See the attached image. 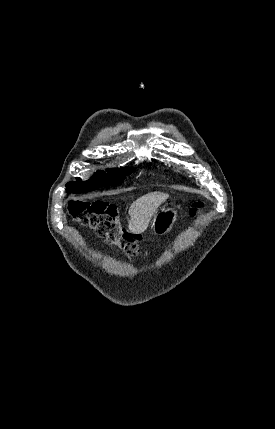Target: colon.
Listing matches in <instances>:
<instances>
[{
	"label": "colon",
	"instance_id": "colon-1",
	"mask_svg": "<svg viewBox=\"0 0 275 429\" xmlns=\"http://www.w3.org/2000/svg\"><path fill=\"white\" fill-rule=\"evenodd\" d=\"M201 203L193 204L190 215L196 216L202 209ZM69 215L84 227L92 228L109 242L116 244L126 255L139 254L138 239L122 229L117 220L116 206L106 201H73L68 205Z\"/></svg>",
	"mask_w": 275,
	"mask_h": 429
}]
</instances>
